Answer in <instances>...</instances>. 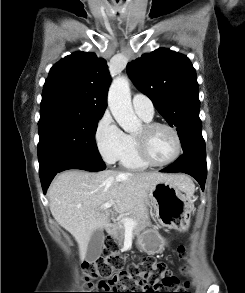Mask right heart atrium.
I'll list each match as a JSON object with an SVG mask.
<instances>
[{"label": "right heart atrium", "instance_id": "1", "mask_svg": "<svg viewBox=\"0 0 245 293\" xmlns=\"http://www.w3.org/2000/svg\"><path fill=\"white\" fill-rule=\"evenodd\" d=\"M94 137L99 153L108 163L119 160L129 146V136L109 114H104L98 121Z\"/></svg>", "mask_w": 245, "mask_h": 293}]
</instances>
